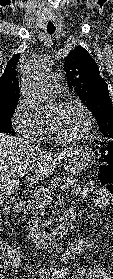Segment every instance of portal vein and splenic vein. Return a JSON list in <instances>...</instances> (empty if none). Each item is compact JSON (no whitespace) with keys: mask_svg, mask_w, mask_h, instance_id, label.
<instances>
[{"mask_svg":"<svg viewBox=\"0 0 113 279\" xmlns=\"http://www.w3.org/2000/svg\"><path fill=\"white\" fill-rule=\"evenodd\" d=\"M25 174H26V172H22V171L19 172V176H20V177H24ZM63 188H65V186H63ZM47 198H48V199H51V196H48Z\"/></svg>","mask_w":113,"mask_h":279,"instance_id":"1","label":"portal vein and splenic vein"}]
</instances>
